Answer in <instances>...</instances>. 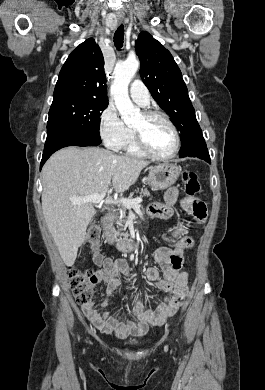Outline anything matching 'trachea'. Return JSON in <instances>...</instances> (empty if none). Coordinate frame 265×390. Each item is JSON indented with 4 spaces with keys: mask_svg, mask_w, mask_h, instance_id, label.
Listing matches in <instances>:
<instances>
[{
    "mask_svg": "<svg viewBox=\"0 0 265 390\" xmlns=\"http://www.w3.org/2000/svg\"><path fill=\"white\" fill-rule=\"evenodd\" d=\"M123 40H124V26L121 24L114 34V44L118 49L122 48Z\"/></svg>",
    "mask_w": 265,
    "mask_h": 390,
    "instance_id": "1",
    "label": "trachea"
}]
</instances>
